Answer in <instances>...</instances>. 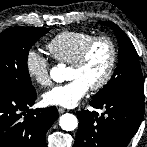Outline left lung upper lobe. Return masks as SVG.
I'll return each instance as SVG.
<instances>
[{"mask_svg": "<svg viewBox=\"0 0 147 147\" xmlns=\"http://www.w3.org/2000/svg\"><path fill=\"white\" fill-rule=\"evenodd\" d=\"M115 33L120 49L118 66L109 82L93 99L106 100L119 96H130L144 100V81L137 52L127 35L113 22H101Z\"/></svg>", "mask_w": 147, "mask_h": 147, "instance_id": "5c2ea615", "label": "left lung upper lobe"}]
</instances>
